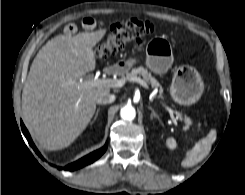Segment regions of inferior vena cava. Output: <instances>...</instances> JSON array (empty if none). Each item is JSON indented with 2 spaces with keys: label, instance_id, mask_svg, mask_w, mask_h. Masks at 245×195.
<instances>
[{
  "label": "inferior vena cava",
  "instance_id": "inferior-vena-cava-1",
  "mask_svg": "<svg viewBox=\"0 0 245 195\" xmlns=\"http://www.w3.org/2000/svg\"><path fill=\"white\" fill-rule=\"evenodd\" d=\"M114 100H115V95L109 93H102L98 96L96 102L98 104H109L114 102Z\"/></svg>",
  "mask_w": 245,
  "mask_h": 195
}]
</instances>
